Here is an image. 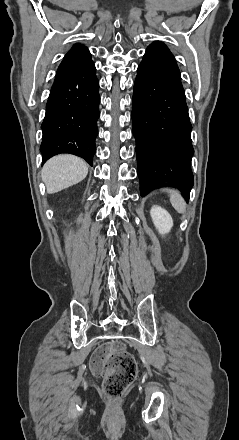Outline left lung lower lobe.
<instances>
[{"label":"left lung lower lobe","instance_id":"1","mask_svg":"<svg viewBox=\"0 0 239 440\" xmlns=\"http://www.w3.org/2000/svg\"><path fill=\"white\" fill-rule=\"evenodd\" d=\"M132 121L141 196L155 183L172 181L189 200L192 126L179 68L163 43H152L137 69Z\"/></svg>","mask_w":239,"mask_h":440}]
</instances>
